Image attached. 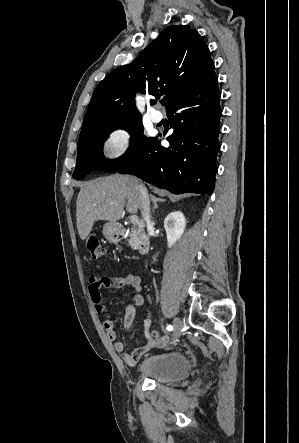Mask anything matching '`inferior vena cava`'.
Segmentation results:
<instances>
[{
	"label": "inferior vena cava",
	"mask_w": 299,
	"mask_h": 443,
	"mask_svg": "<svg viewBox=\"0 0 299 443\" xmlns=\"http://www.w3.org/2000/svg\"><path fill=\"white\" fill-rule=\"evenodd\" d=\"M135 189L138 193V197L140 200V207L139 208H140L142 217L145 220V222L150 223L151 222L150 200H149L147 189L140 182H137L135 184Z\"/></svg>",
	"instance_id": "1"
}]
</instances>
